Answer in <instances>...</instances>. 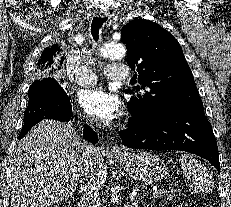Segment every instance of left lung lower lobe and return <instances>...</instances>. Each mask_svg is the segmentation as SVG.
Segmentation results:
<instances>
[{"label": "left lung lower lobe", "instance_id": "obj_1", "mask_svg": "<svg viewBox=\"0 0 231 207\" xmlns=\"http://www.w3.org/2000/svg\"><path fill=\"white\" fill-rule=\"evenodd\" d=\"M119 135L129 148L194 153L211 162L220 173L217 142L203 104L155 118L132 116L128 129Z\"/></svg>", "mask_w": 231, "mask_h": 207}]
</instances>
